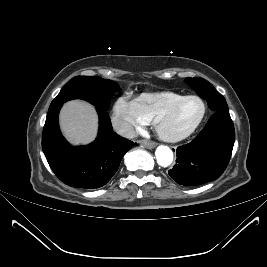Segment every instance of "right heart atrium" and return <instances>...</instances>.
<instances>
[{
	"label": "right heart atrium",
	"mask_w": 267,
	"mask_h": 267,
	"mask_svg": "<svg viewBox=\"0 0 267 267\" xmlns=\"http://www.w3.org/2000/svg\"><path fill=\"white\" fill-rule=\"evenodd\" d=\"M112 122L115 129L124 136L131 137L149 121L139 108L137 99L128 95L118 97L113 105Z\"/></svg>",
	"instance_id": "right-heart-atrium-1"
}]
</instances>
